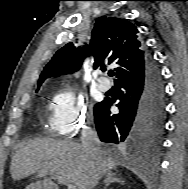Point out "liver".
Here are the masks:
<instances>
[{
  "instance_id": "obj_1",
  "label": "liver",
  "mask_w": 188,
  "mask_h": 189,
  "mask_svg": "<svg viewBox=\"0 0 188 189\" xmlns=\"http://www.w3.org/2000/svg\"><path fill=\"white\" fill-rule=\"evenodd\" d=\"M102 174L116 169L112 157L102 156L98 163ZM92 160L82 145L51 138H37L21 146L11 163V177L14 181L26 178L36 172L47 171L73 183L77 189H92ZM25 189H58L50 178L36 181Z\"/></svg>"
}]
</instances>
